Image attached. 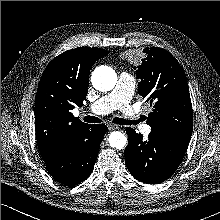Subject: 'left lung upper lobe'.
Listing matches in <instances>:
<instances>
[{
	"label": "left lung upper lobe",
	"instance_id": "5c2ea615",
	"mask_svg": "<svg viewBox=\"0 0 220 220\" xmlns=\"http://www.w3.org/2000/svg\"><path fill=\"white\" fill-rule=\"evenodd\" d=\"M146 58L136 71L138 94L150 101L147 124L153 131L190 140L193 111L188 83L178 61L161 48L144 49Z\"/></svg>",
	"mask_w": 220,
	"mask_h": 220
}]
</instances>
